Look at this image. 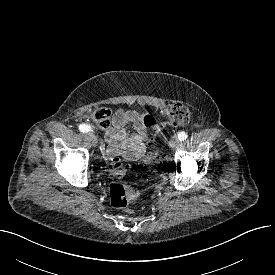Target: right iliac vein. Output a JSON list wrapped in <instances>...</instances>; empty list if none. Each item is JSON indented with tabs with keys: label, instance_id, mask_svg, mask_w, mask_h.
<instances>
[{
	"label": "right iliac vein",
	"instance_id": "obj_1",
	"mask_svg": "<svg viewBox=\"0 0 275 275\" xmlns=\"http://www.w3.org/2000/svg\"><path fill=\"white\" fill-rule=\"evenodd\" d=\"M89 138L92 145L95 147L97 145V136L94 133H89Z\"/></svg>",
	"mask_w": 275,
	"mask_h": 275
}]
</instances>
